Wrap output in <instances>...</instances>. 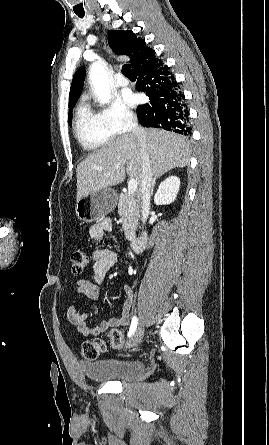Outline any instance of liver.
<instances>
[{"label": "liver", "instance_id": "6515ba94", "mask_svg": "<svg viewBox=\"0 0 269 445\" xmlns=\"http://www.w3.org/2000/svg\"><path fill=\"white\" fill-rule=\"evenodd\" d=\"M151 174L158 176L189 164V142L181 135L161 129H144ZM125 165L127 166L125 168ZM126 173L139 183L142 159L138 138L127 133L90 154L76 169L77 201L92 192L124 181Z\"/></svg>", "mask_w": 269, "mask_h": 445}]
</instances>
